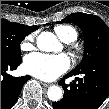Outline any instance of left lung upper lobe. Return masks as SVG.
<instances>
[{
	"instance_id": "1",
	"label": "left lung upper lobe",
	"mask_w": 109,
	"mask_h": 109,
	"mask_svg": "<svg viewBox=\"0 0 109 109\" xmlns=\"http://www.w3.org/2000/svg\"><path fill=\"white\" fill-rule=\"evenodd\" d=\"M61 22L74 23L84 34V55L81 64L73 71L77 72L101 60H109V27L96 15L72 13ZM73 91L71 98L78 97Z\"/></svg>"
}]
</instances>
